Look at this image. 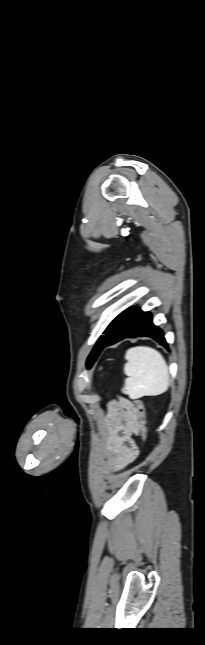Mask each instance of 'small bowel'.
<instances>
[{
  "label": "small bowel",
  "instance_id": "small-bowel-1",
  "mask_svg": "<svg viewBox=\"0 0 205 645\" xmlns=\"http://www.w3.org/2000/svg\"><path fill=\"white\" fill-rule=\"evenodd\" d=\"M139 433L133 402L120 397L109 405L102 448L107 465L113 471L122 470L138 455L134 436Z\"/></svg>",
  "mask_w": 205,
  "mask_h": 645
}]
</instances>
